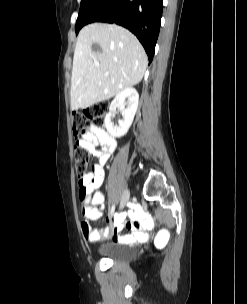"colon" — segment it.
Returning a JSON list of instances; mask_svg holds the SVG:
<instances>
[{
	"instance_id": "colon-1",
	"label": "colon",
	"mask_w": 247,
	"mask_h": 304,
	"mask_svg": "<svg viewBox=\"0 0 247 304\" xmlns=\"http://www.w3.org/2000/svg\"><path fill=\"white\" fill-rule=\"evenodd\" d=\"M108 111L107 102H99L82 110L74 112L72 115V130L75 136L74 143V163L75 169L80 177L79 184L86 174L89 164V153L80 144L81 138L89 131L92 126L101 125ZM80 201L84 200V190H79ZM172 235L168 233L167 229H158L155 237H153V244H166V240H171Z\"/></svg>"
}]
</instances>
